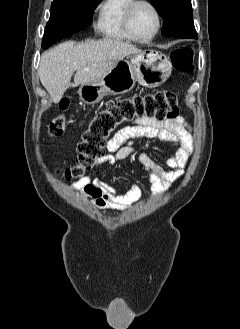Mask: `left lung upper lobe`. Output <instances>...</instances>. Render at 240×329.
<instances>
[{
	"label": "left lung upper lobe",
	"mask_w": 240,
	"mask_h": 329,
	"mask_svg": "<svg viewBox=\"0 0 240 329\" xmlns=\"http://www.w3.org/2000/svg\"><path fill=\"white\" fill-rule=\"evenodd\" d=\"M164 18L162 34L165 37L197 38L193 23L191 0H150Z\"/></svg>",
	"instance_id": "1"
}]
</instances>
